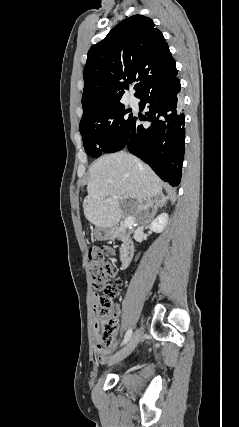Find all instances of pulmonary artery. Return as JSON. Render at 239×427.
Instances as JSON below:
<instances>
[{
    "label": "pulmonary artery",
    "mask_w": 239,
    "mask_h": 427,
    "mask_svg": "<svg viewBox=\"0 0 239 427\" xmlns=\"http://www.w3.org/2000/svg\"><path fill=\"white\" fill-rule=\"evenodd\" d=\"M135 102H136V101H135V99H134L133 97H130V99H129V103H130V104H135Z\"/></svg>",
    "instance_id": "e3ab8cb5"
}]
</instances>
